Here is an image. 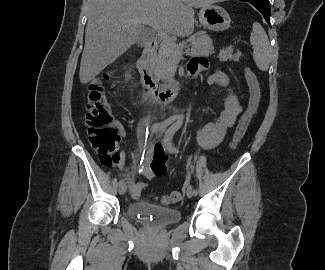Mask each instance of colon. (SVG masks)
I'll use <instances>...</instances> for the list:
<instances>
[{
	"instance_id": "5ec220e1",
	"label": "colon",
	"mask_w": 325,
	"mask_h": 270,
	"mask_svg": "<svg viewBox=\"0 0 325 270\" xmlns=\"http://www.w3.org/2000/svg\"><path fill=\"white\" fill-rule=\"evenodd\" d=\"M110 76L111 72H107L90 82L85 102V124L89 142L100 162L106 167H111L119 161V135L112 123L111 107L105 93V83ZM245 78L250 92L249 103L235 129L231 147H236L242 140L260 104L261 91L256 75L250 69H246ZM181 199V192L172 191L163 196L162 201L173 203Z\"/></svg>"
}]
</instances>
